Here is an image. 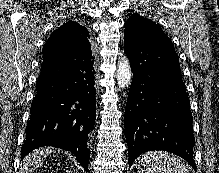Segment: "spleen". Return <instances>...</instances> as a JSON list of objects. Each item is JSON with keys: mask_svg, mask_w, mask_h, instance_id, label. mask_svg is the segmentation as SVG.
<instances>
[{"mask_svg": "<svg viewBox=\"0 0 219 173\" xmlns=\"http://www.w3.org/2000/svg\"><path fill=\"white\" fill-rule=\"evenodd\" d=\"M139 173H188L176 156L167 152H148L137 159Z\"/></svg>", "mask_w": 219, "mask_h": 173, "instance_id": "obj_1", "label": "spleen"}]
</instances>
